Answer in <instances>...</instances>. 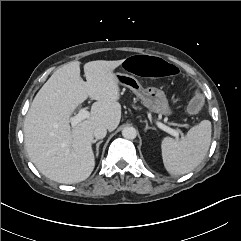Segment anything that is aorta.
<instances>
[{
	"mask_svg": "<svg viewBox=\"0 0 241 241\" xmlns=\"http://www.w3.org/2000/svg\"><path fill=\"white\" fill-rule=\"evenodd\" d=\"M122 136L125 139L133 140L137 136V131L134 127L127 126L122 130Z\"/></svg>",
	"mask_w": 241,
	"mask_h": 241,
	"instance_id": "aorta-1",
	"label": "aorta"
}]
</instances>
